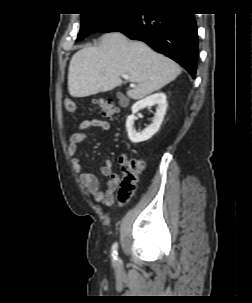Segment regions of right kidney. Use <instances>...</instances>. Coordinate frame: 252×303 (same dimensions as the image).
<instances>
[{
	"instance_id": "right-kidney-1",
	"label": "right kidney",
	"mask_w": 252,
	"mask_h": 303,
	"mask_svg": "<svg viewBox=\"0 0 252 303\" xmlns=\"http://www.w3.org/2000/svg\"><path fill=\"white\" fill-rule=\"evenodd\" d=\"M157 105L155 116L147 128L142 132H136L134 129V121L136 120L135 113L145 107H151ZM167 109V100L165 93H155L151 96H148L132 106V115L128 116L126 120V129L128 132V137L133 143H140L143 141L149 140L156 132H158L164 115Z\"/></svg>"
}]
</instances>
